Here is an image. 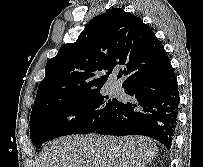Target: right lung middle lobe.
I'll list each match as a JSON object with an SVG mask.
<instances>
[{
	"mask_svg": "<svg viewBox=\"0 0 203 167\" xmlns=\"http://www.w3.org/2000/svg\"><path fill=\"white\" fill-rule=\"evenodd\" d=\"M120 103L121 100L102 96L100 90L52 100L32 111L29 122L31 140L40 147L60 136L92 133ZM70 115L76 117L67 121Z\"/></svg>",
	"mask_w": 203,
	"mask_h": 167,
	"instance_id": "1",
	"label": "right lung middle lobe"
}]
</instances>
